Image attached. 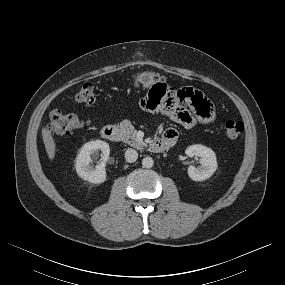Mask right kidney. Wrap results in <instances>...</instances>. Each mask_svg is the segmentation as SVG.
<instances>
[{"mask_svg": "<svg viewBox=\"0 0 285 285\" xmlns=\"http://www.w3.org/2000/svg\"><path fill=\"white\" fill-rule=\"evenodd\" d=\"M99 152H101V162L94 169L90 163L93 159L98 158ZM109 153L108 143L101 140L87 142L82 146L76 158L77 174L90 183L101 184L105 182L107 177L105 163L109 158Z\"/></svg>", "mask_w": 285, "mask_h": 285, "instance_id": "right-kidney-1", "label": "right kidney"}]
</instances>
